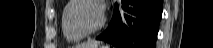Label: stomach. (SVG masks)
Segmentation results:
<instances>
[{
	"mask_svg": "<svg viewBox=\"0 0 213 48\" xmlns=\"http://www.w3.org/2000/svg\"><path fill=\"white\" fill-rule=\"evenodd\" d=\"M96 48H109V47L105 45H100L99 47H96Z\"/></svg>",
	"mask_w": 213,
	"mask_h": 48,
	"instance_id": "obj_1",
	"label": "stomach"
}]
</instances>
